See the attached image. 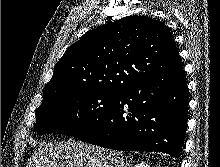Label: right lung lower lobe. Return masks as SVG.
<instances>
[{"label": "right lung lower lobe", "instance_id": "1", "mask_svg": "<svg viewBox=\"0 0 220 167\" xmlns=\"http://www.w3.org/2000/svg\"><path fill=\"white\" fill-rule=\"evenodd\" d=\"M187 120L188 90L180 66L119 91L104 117L77 137L115 150L164 152L178 158Z\"/></svg>", "mask_w": 220, "mask_h": 167}]
</instances>
